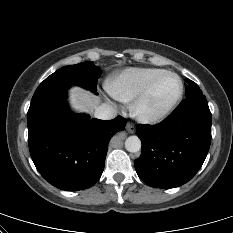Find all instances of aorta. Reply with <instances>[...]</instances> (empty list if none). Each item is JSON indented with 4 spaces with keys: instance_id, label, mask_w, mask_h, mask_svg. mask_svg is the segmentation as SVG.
I'll return each mask as SVG.
<instances>
[{
    "instance_id": "obj_1",
    "label": "aorta",
    "mask_w": 233,
    "mask_h": 233,
    "mask_svg": "<svg viewBox=\"0 0 233 233\" xmlns=\"http://www.w3.org/2000/svg\"><path fill=\"white\" fill-rule=\"evenodd\" d=\"M125 148L128 152H138L141 149V140L137 136H130L125 141Z\"/></svg>"
}]
</instances>
